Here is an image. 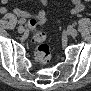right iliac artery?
Returning a JSON list of instances; mask_svg holds the SVG:
<instances>
[{
	"label": "right iliac artery",
	"instance_id": "obj_1",
	"mask_svg": "<svg viewBox=\"0 0 91 91\" xmlns=\"http://www.w3.org/2000/svg\"><path fill=\"white\" fill-rule=\"evenodd\" d=\"M24 23H25V19H23V18L18 21V24H20V25L24 24Z\"/></svg>",
	"mask_w": 91,
	"mask_h": 91
}]
</instances>
